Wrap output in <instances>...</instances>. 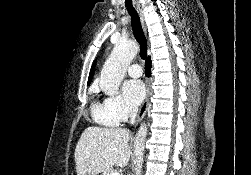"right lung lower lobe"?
Returning <instances> with one entry per match:
<instances>
[{
    "label": "right lung lower lobe",
    "mask_w": 251,
    "mask_h": 175,
    "mask_svg": "<svg viewBox=\"0 0 251 175\" xmlns=\"http://www.w3.org/2000/svg\"><path fill=\"white\" fill-rule=\"evenodd\" d=\"M145 67H146V70H145L146 75L150 76V73H151V60H150V58L146 60Z\"/></svg>",
    "instance_id": "98d812e1"
}]
</instances>
